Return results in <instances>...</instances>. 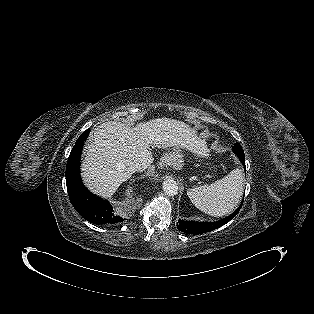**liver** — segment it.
Returning a JSON list of instances; mask_svg holds the SVG:
<instances>
[{
  "label": "liver",
  "mask_w": 314,
  "mask_h": 314,
  "mask_svg": "<svg viewBox=\"0 0 314 314\" xmlns=\"http://www.w3.org/2000/svg\"><path fill=\"white\" fill-rule=\"evenodd\" d=\"M203 145L184 122L170 118L153 119L131 128L121 122L108 121L94 129L82 163V177L89 189L111 197L131 177L127 167L140 163L144 170L154 161L152 148L195 150Z\"/></svg>",
  "instance_id": "obj_1"
}]
</instances>
